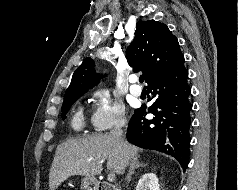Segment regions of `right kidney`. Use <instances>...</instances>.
<instances>
[{
    "mask_svg": "<svg viewBox=\"0 0 238 190\" xmlns=\"http://www.w3.org/2000/svg\"><path fill=\"white\" fill-rule=\"evenodd\" d=\"M136 190H160L157 176L154 173L144 174L140 178Z\"/></svg>",
    "mask_w": 238,
    "mask_h": 190,
    "instance_id": "ca27d5eb",
    "label": "right kidney"
}]
</instances>
